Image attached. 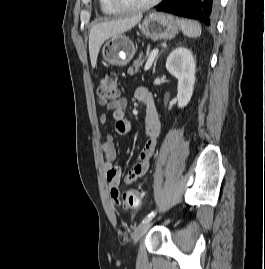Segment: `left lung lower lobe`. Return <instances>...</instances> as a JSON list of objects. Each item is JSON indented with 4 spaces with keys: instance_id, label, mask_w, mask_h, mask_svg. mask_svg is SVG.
Returning a JSON list of instances; mask_svg holds the SVG:
<instances>
[{
    "instance_id": "1",
    "label": "left lung lower lobe",
    "mask_w": 265,
    "mask_h": 269,
    "mask_svg": "<svg viewBox=\"0 0 265 269\" xmlns=\"http://www.w3.org/2000/svg\"><path fill=\"white\" fill-rule=\"evenodd\" d=\"M157 11L195 19L209 26L218 15L219 0H167Z\"/></svg>"
}]
</instances>
